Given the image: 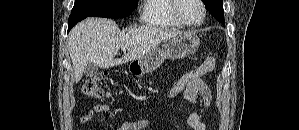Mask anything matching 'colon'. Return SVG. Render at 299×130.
<instances>
[{"label":"colon","instance_id":"colon-1","mask_svg":"<svg viewBox=\"0 0 299 130\" xmlns=\"http://www.w3.org/2000/svg\"><path fill=\"white\" fill-rule=\"evenodd\" d=\"M216 65V57H208L200 66L181 74L166 93V99L171 100L182 94L188 87L203 81V77L211 72ZM103 74L88 78L82 85V92L89 98L101 99L105 92L100 82Z\"/></svg>","mask_w":299,"mask_h":130}]
</instances>
